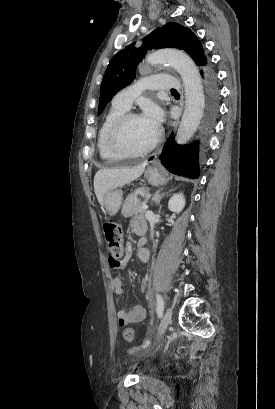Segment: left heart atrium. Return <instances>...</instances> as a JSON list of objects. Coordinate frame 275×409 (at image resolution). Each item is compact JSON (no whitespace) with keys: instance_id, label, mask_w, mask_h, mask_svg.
<instances>
[{"instance_id":"left-heart-atrium-1","label":"left heart atrium","mask_w":275,"mask_h":409,"mask_svg":"<svg viewBox=\"0 0 275 409\" xmlns=\"http://www.w3.org/2000/svg\"><path fill=\"white\" fill-rule=\"evenodd\" d=\"M143 119L152 130L158 132L162 122V113L158 107L148 106L145 109V116Z\"/></svg>"}]
</instances>
